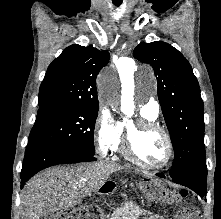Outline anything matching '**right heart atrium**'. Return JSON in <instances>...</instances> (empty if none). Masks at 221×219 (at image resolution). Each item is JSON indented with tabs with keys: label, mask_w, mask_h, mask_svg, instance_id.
Wrapping results in <instances>:
<instances>
[{
	"label": "right heart atrium",
	"mask_w": 221,
	"mask_h": 219,
	"mask_svg": "<svg viewBox=\"0 0 221 219\" xmlns=\"http://www.w3.org/2000/svg\"><path fill=\"white\" fill-rule=\"evenodd\" d=\"M120 133V122L111 111L102 106L94 125V139L98 152L106 156L113 151Z\"/></svg>",
	"instance_id": "1"
}]
</instances>
